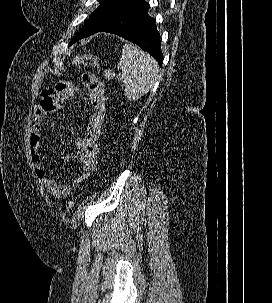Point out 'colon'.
<instances>
[{"mask_svg": "<svg viewBox=\"0 0 272 303\" xmlns=\"http://www.w3.org/2000/svg\"><path fill=\"white\" fill-rule=\"evenodd\" d=\"M74 64L78 65V64H82L85 66H90V67H96L99 64L98 58L95 55L92 54H83V55H79L77 57H75ZM105 76L108 80H111L114 78L115 73L112 69H107L105 71ZM74 208V202L73 201H69L67 203V210L68 211H72Z\"/></svg>", "mask_w": 272, "mask_h": 303, "instance_id": "obj_1", "label": "colon"}]
</instances>
